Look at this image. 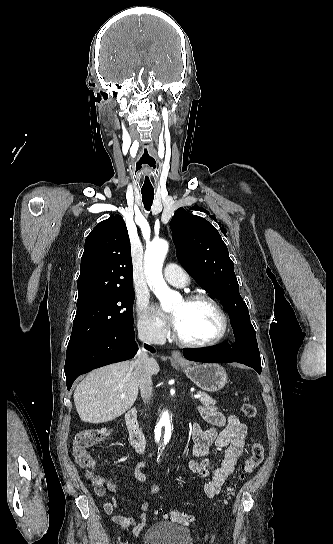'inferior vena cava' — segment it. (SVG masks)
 I'll return each mask as SVG.
<instances>
[{"label": "inferior vena cava", "mask_w": 333, "mask_h": 544, "mask_svg": "<svg viewBox=\"0 0 333 544\" xmlns=\"http://www.w3.org/2000/svg\"><path fill=\"white\" fill-rule=\"evenodd\" d=\"M138 338L143 343L153 344L161 339V334L156 328L144 327L138 329ZM148 363L147 351L140 348L135 357L134 371L138 379L141 397L145 404L149 403L152 397V379Z\"/></svg>", "instance_id": "obj_1"}]
</instances>
